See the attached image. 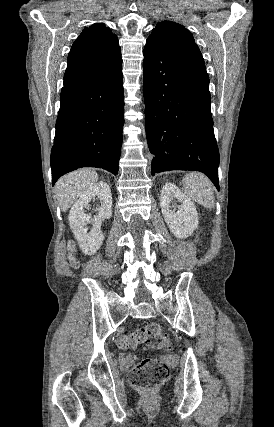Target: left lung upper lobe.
<instances>
[{"instance_id":"obj_1","label":"left lung upper lobe","mask_w":274,"mask_h":427,"mask_svg":"<svg viewBox=\"0 0 274 427\" xmlns=\"http://www.w3.org/2000/svg\"><path fill=\"white\" fill-rule=\"evenodd\" d=\"M147 40L159 42L171 52L204 65V59L192 33L178 23L171 21L158 23Z\"/></svg>"}]
</instances>
